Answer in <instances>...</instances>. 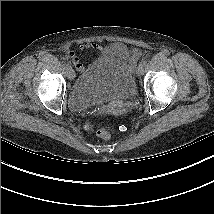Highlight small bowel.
Listing matches in <instances>:
<instances>
[{
  "mask_svg": "<svg viewBox=\"0 0 214 214\" xmlns=\"http://www.w3.org/2000/svg\"><path fill=\"white\" fill-rule=\"evenodd\" d=\"M79 49L81 51L93 50L97 54H111V53L118 54L121 57H123L131 67H133L137 63L140 57V51L138 49L136 48L129 49L126 45L120 42H115L108 46H102L95 42H86L81 44L79 46ZM68 56L73 60V64L76 70L79 72H83L85 69V65L77 58L75 53L71 51L68 53ZM92 64L93 62L89 63V65Z\"/></svg>",
  "mask_w": 214,
  "mask_h": 214,
  "instance_id": "c3829d8e",
  "label": "small bowel"
}]
</instances>
